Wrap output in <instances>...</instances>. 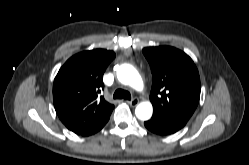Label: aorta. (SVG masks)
I'll return each instance as SVG.
<instances>
[{"label": "aorta", "instance_id": "762f6f07", "mask_svg": "<svg viewBox=\"0 0 249 165\" xmlns=\"http://www.w3.org/2000/svg\"><path fill=\"white\" fill-rule=\"evenodd\" d=\"M117 78L122 84L129 85L137 91H141L143 89V80L140 74L130 65L121 66L117 70ZM152 113L153 107L148 101L141 102L135 109L137 118L143 121L150 119Z\"/></svg>", "mask_w": 249, "mask_h": 165}]
</instances>
